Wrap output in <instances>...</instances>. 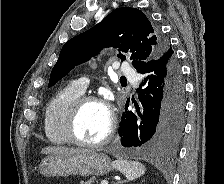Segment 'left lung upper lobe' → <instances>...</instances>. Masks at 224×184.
Instances as JSON below:
<instances>
[{"label":"left lung upper lobe","mask_w":224,"mask_h":184,"mask_svg":"<svg viewBox=\"0 0 224 184\" xmlns=\"http://www.w3.org/2000/svg\"><path fill=\"white\" fill-rule=\"evenodd\" d=\"M111 46L124 52L130 50L136 70L160 57L169 47L139 9L117 8L100 23L65 43L51 71L48 87L76 65L95 56L101 48ZM118 57L125 59L121 53Z\"/></svg>","instance_id":"5c2ea615"}]
</instances>
